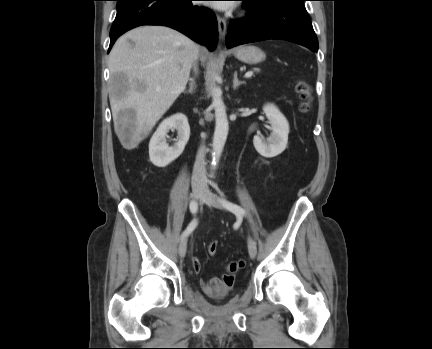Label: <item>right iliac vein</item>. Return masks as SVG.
<instances>
[{"instance_id":"obj_1","label":"right iliac vein","mask_w":432,"mask_h":349,"mask_svg":"<svg viewBox=\"0 0 432 349\" xmlns=\"http://www.w3.org/2000/svg\"><path fill=\"white\" fill-rule=\"evenodd\" d=\"M203 192L204 191H203V189L201 187H195V188H193V190H192V198L195 199V200L199 199L202 196ZM186 250H187V239L184 237L181 240V242L179 244V247H178L179 255L181 257H184L185 254H186Z\"/></svg>"}]
</instances>
